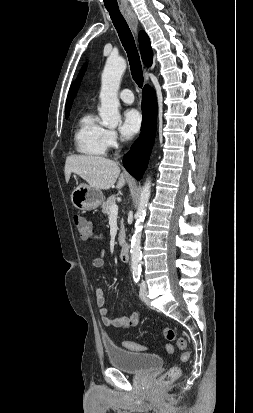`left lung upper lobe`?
<instances>
[{"label": "left lung upper lobe", "instance_id": "obj_1", "mask_svg": "<svg viewBox=\"0 0 253 413\" xmlns=\"http://www.w3.org/2000/svg\"><path fill=\"white\" fill-rule=\"evenodd\" d=\"M85 70H86V65H84V66L82 67V69H81V71H80V73H79V76H78V78H77V80H76L75 88H74L75 94H76V92H77V90H78V87H79V85H80V81H81V79H82V76H83Z\"/></svg>", "mask_w": 253, "mask_h": 413}]
</instances>
